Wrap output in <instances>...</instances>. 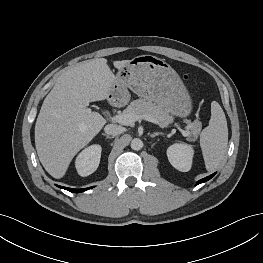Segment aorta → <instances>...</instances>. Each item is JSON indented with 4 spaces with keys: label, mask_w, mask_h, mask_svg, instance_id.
Instances as JSON below:
<instances>
[{
    "label": "aorta",
    "mask_w": 263,
    "mask_h": 263,
    "mask_svg": "<svg viewBox=\"0 0 263 263\" xmlns=\"http://www.w3.org/2000/svg\"><path fill=\"white\" fill-rule=\"evenodd\" d=\"M142 147H143V142H142L141 139H139V138H134V139L131 141V148H132L133 150L138 151V150L142 149Z\"/></svg>",
    "instance_id": "obj_1"
}]
</instances>
